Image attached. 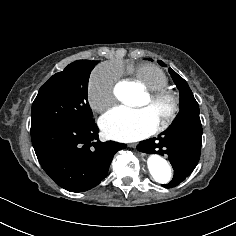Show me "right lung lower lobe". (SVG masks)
I'll list each match as a JSON object with an SVG mask.
<instances>
[{
    "label": "right lung lower lobe",
    "mask_w": 236,
    "mask_h": 236,
    "mask_svg": "<svg viewBox=\"0 0 236 236\" xmlns=\"http://www.w3.org/2000/svg\"><path fill=\"white\" fill-rule=\"evenodd\" d=\"M98 132L94 119L59 122L31 129V139L45 172L62 188L82 192L98 185L115 153L126 148L114 141L93 142Z\"/></svg>",
    "instance_id": "1"
}]
</instances>
